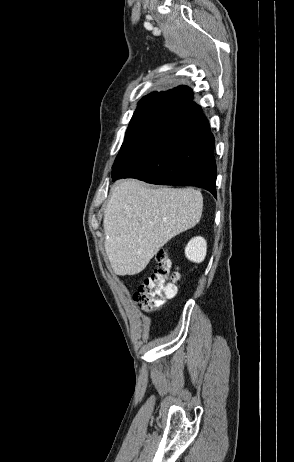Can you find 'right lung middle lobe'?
<instances>
[{
  "label": "right lung middle lobe",
  "instance_id": "right-lung-middle-lobe-1",
  "mask_svg": "<svg viewBox=\"0 0 294 462\" xmlns=\"http://www.w3.org/2000/svg\"><path fill=\"white\" fill-rule=\"evenodd\" d=\"M187 105L186 100L177 97L162 98L139 105L126 131L112 174L123 169L141 149L159 137Z\"/></svg>",
  "mask_w": 294,
  "mask_h": 462
}]
</instances>
